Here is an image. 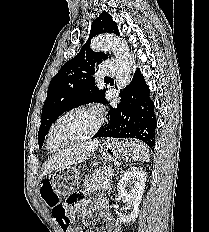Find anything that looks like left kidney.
<instances>
[{
    "mask_svg": "<svg viewBox=\"0 0 209 232\" xmlns=\"http://www.w3.org/2000/svg\"><path fill=\"white\" fill-rule=\"evenodd\" d=\"M145 182L146 174L143 171L131 169L121 175L118 183V194L124 199V202L133 206V211L130 215L120 218V222L130 223L138 217ZM127 188H129V192H127Z\"/></svg>",
    "mask_w": 209,
    "mask_h": 232,
    "instance_id": "5707ae66",
    "label": "left kidney"
}]
</instances>
